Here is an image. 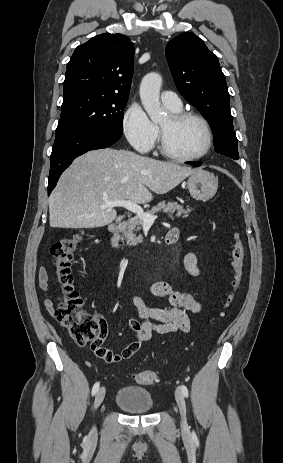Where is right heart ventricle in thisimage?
<instances>
[{
	"instance_id": "1",
	"label": "right heart ventricle",
	"mask_w": 283,
	"mask_h": 463,
	"mask_svg": "<svg viewBox=\"0 0 283 463\" xmlns=\"http://www.w3.org/2000/svg\"><path fill=\"white\" fill-rule=\"evenodd\" d=\"M166 107H167V106H166ZM167 108H168V110H169L170 112H172V113H176V112H180V111H181V108H178V109H172V108H169V107H167Z\"/></svg>"
}]
</instances>
